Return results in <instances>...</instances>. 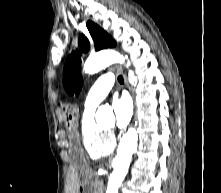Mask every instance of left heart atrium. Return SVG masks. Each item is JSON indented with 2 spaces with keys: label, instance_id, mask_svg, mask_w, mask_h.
Instances as JSON below:
<instances>
[{
  "label": "left heart atrium",
  "instance_id": "1",
  "mask_svg": "<svg viewBox=\"0 0 221 193\" xmlns=\"http://www.w3.org/2000/svg\"><path fill=\"white\" fill-rule=\"evenodd\" d=\"M112 108L115 115V124L119 128L125 127L132 116L133 106L130 98L123 94L116 96L112 100Z\"/></svg>",
  "mask_w": 221,
  "mask_h": 193
}]
</instances>
